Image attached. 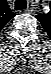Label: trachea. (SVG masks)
<instances>
[{"mask_svg":"<svg viewBox=\"0 0 51 74\" xmlns=\"http://www.w3.org/2000/svg\"><path fill=\"white\" fill-rule=\"evenodd\" d=\"M26 8H27V2L25 0H16L15 1L16 10H24Z\"/></svg>","mask_w":51,"mask_h":74,"instance_id":"trachea-1","label":"trachea"}]
</instances>
